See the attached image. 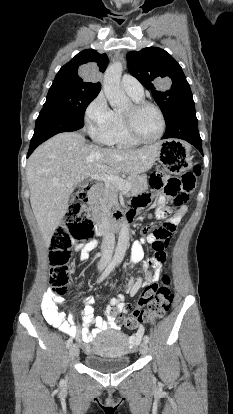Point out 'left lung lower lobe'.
Listing matches in <instances>:
<instances>
[{
  "label": "left lung lower lobe",
  "instance_id": "0a47b994",
  "mask_svg": "<svg viewBox=\"0 0 233 414\" xmlns=\"http://www.w3.org/2000/svg\"><path fill=\"white\" fill-rule=\"evenodd\" d=\"M182 139L195 146L202 154V140L198 131L194 102L182 105L166 122V132L162 139Z\"/></svg>",
  "mask_w": 233,
  "mask_h": 414
}]
</instances>
